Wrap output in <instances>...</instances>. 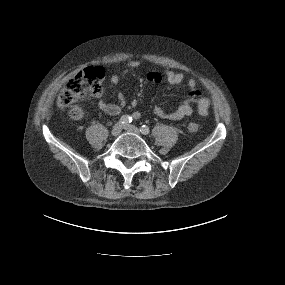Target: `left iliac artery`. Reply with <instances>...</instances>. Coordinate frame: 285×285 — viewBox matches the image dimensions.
<instances>
[{
    "mask_svg": "<svg viewBox=\"0 0 285 285\" xmlns=\"http://www.w3.org/2000/svg\"><path fill=\"white\" fill-rule=\"evenodd\" d=\"M140 131H141L142 134L146 135V134H149L150 129H149L148 126L143 125V126H141Z\"/></svg>",
    "mask_w": 285,
    "mask_h": 285,
    "instance_id": "obj_1",
    "label": "left iliac artery"
}]
</instances>
